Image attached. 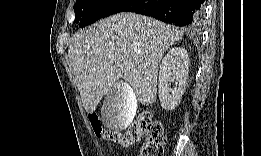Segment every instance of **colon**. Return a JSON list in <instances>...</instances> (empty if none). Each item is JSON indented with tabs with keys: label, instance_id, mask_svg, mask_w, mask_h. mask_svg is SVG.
<instances>
[{
	"label": "colon",
	"instance_id": "obj_1",
	"mask_svg": "<svg viewBox=\"0 0 261 156\" xmlns=\"http://www.w3.org/2000/svg\"><path fill=\"white\" fill-rule=\"evenodd\" d=\"M92 126L98 137L122 147L128 148L145 141L141 147L142 156H161L164 152L165 134L162 124L152 119L149 112H143L138 119L123 131H114L102 126L101 123L92 118Z\"/></svg>",
	"mask_w": 261,
	"mask_h": 156
}]
</instances>
